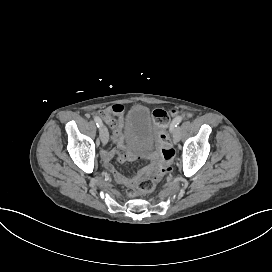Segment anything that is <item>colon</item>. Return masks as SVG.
Segmentation results:
<instances>
[{
    "mask_svg": "<svg viewBox=\"0 0 272 272\" xmlns=\"http://www.w3.org/2000/svg\"><path fill=\"white\" fill-rule=\"evenodd\" d=\"M177 110L169 108L167 110L158 109L153 113L155 130L154 139L157 141V147L162 151L160 162L154 166H149L146 173L141 174L138 180H134L127 189L130 194L140 192L142 195L148 196L154 192V181H159L164 173L172 171L171 159L174 156V138L171 136L170 130L167 128L171 116H174ZM118 174V173H117ZM125 181V180H122Z\"/></svg>",
    "mask_w": 272,
    "mask_h": 272,
    "instance_id": "5ec220e1",
    "label": "colon"
}]
</instances>
